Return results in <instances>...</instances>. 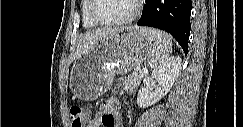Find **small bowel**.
<instances>
[{"label":"small bowel","instance_id":"obj_1","mask_svg":"<svg viewBox=\"0 0 243 127\" xmlns=\"http://www.w3.org/2000/svg\"><path fill=\"white\" fill-rule=\"evenodd\" d=\"M120 102L116 98H109L99 107L93 117H89L87 127H118L120 121Z\"/></svg>","mask_w":243,"mask_h":127}]
</instances>
